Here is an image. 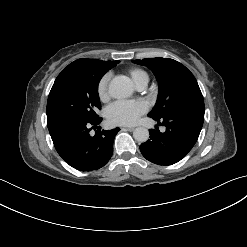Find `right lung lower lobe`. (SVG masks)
Here are the masks:
<instances>
[{"instance_id":"right-lung-lower-lobe-1","label":"right lung lower lobe","mask_w":247,"mask_h":247,"mask_svg":"<svg viewBox=\"0 0 247 247\" xmlns=\"http://www.w3.org/2000/svg\"><path fill=\"white\" fill-rule=\"evenodd\" d=\"M102 118L92 121H68L49 130L58 154L73 168L80 171L97 170L110 160L113 154V141L120 128L99 129L94 136L90 130ZM91 127V128H90Z\"/></svg>"}]
</instances>
